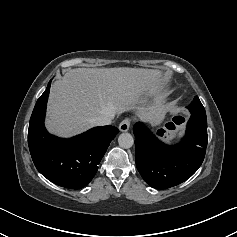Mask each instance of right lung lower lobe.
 Returning a JSON list of instances; mask_svg holds the SVG:
<instances>
[{"mask_svg":"<svg viewBox=\"0 0 237 237\" xmlns=\"http://www.w3.org/2000/svg\"><path fill=\"white\" fill-rule=\"evenodd\" d=\"M51 81L32 112L28 145L37 170L56 185L80 189L94 177L102 157L119 130L113 126L95 127L69 139L47 132L44 126Z\"/></svg>","mask_w":237,"mask_h":237,"instance_id":"98d812e1","label":"right lung lower lobe"}]
</instances>
